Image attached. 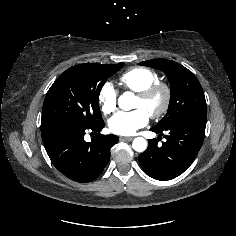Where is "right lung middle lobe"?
<instances>
[{"instance_id": "obj_1", "label": "right lung middle lobe", "mask_w": 236, "mask_h": 236, "mask_svg": "<svg viewBox=\"0 0 236 236\" xmlns=\"http://www.w3.org/2000/svg\"><path fill=\"white\" fill-rule=\"evenodd\" d=\"M124 63L79 64L64 71L46 94L41 130L60 123L93 126L103 121L99 94L107 79Z\"/></svg>"}]
</instances>
